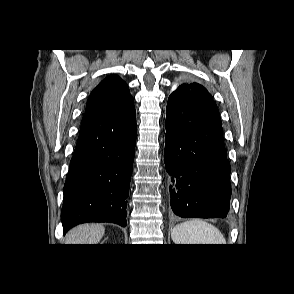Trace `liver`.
Instances as JSON below:
<instances>
[{"mask_svg": "<svg viewBox=\"0 0 294 294\" xmlns=\"http://www.w3.org/2000/svg\"><path fill=\"white\" fill-rule=\"evenodd\" d=\"M102 224H83L71 229L66 235V244H97L104 236Z\"/></svg>", "mask_w": 294, "mask_h": 294, "instance_id": "1", "label": "liver"}]
</instances>
